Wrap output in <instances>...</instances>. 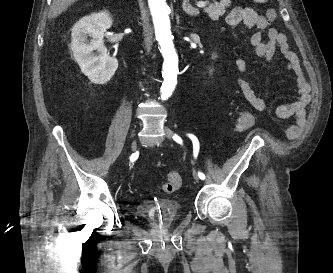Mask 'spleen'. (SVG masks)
Masks as SVG:
<instances>
[{"label":"spleen","mask_w":333,"mask_h":273,"mask_svg":"<svg viewBox=\"0 0 333 273\" xmlns=\"http://www.w3.org/2000/svg\"><path fill=\"white\" fill-rule=\"evenodd\" d=\"M255 2H260V3H264L267 2V0H254Z\"/></svg>","instance_id":"1"}]
</instances>
